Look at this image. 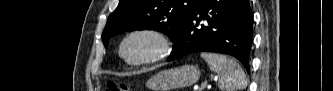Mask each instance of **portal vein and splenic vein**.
Wrapping results in <instances>:
<instances>
[{
  "label": "portal vein and splenic vein",
  "instance_id": "1",
  "mask_svg": "<svg viewBox=\"0 0 333 91\" xmlns=\"http://www.w3.org/2000/svg\"><path fill=\"white\" fill-rule=\"evenodd\" d=\"M207 85V82H204L202 87H205ZM194 91H198V86H194Z\"/></svg>",
  "mask_w": 333,
  "mask_h": 91
}]
</instances>
